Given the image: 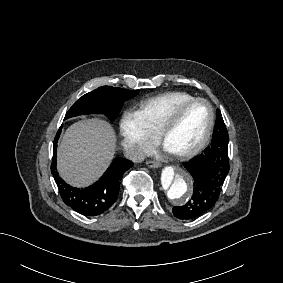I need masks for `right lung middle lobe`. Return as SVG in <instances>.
<instances>
[{
    "mask_svg": "<svg viewBox=\"0 0 283 283\" xmlns=\"http://www.w3.org/2000/svg\"><path fill=\"white\" fill-rule=\"evenodd\" d=\"M137 94V90H126L111 86L99 87L77 100L68 110L64 119L91 113H104L115 119L124 102Z\"/></svg>",
    "mask_w": 283,
    "mask_h": 283,
    "instance_id": "right-lung-middle-lobe-1",
    "label": "right lung middle lobe"
}]
</instances>
